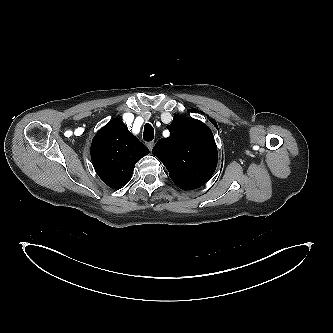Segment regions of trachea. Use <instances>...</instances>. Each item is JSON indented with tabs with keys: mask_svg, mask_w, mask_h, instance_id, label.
<instances>
[{
	"mask_svg": "<svg viewBox=\"0 0 333 333\" xmlns=\"http://www.w3.org/2000/svg\"><path fill=\"white\" fill-rule=\"evenodd\" d=\"M143 139L148 142L154 139V129L149 123L144 126Z\"/></svg>",
	"mask_w": 333,
	"mask_h": 333,
	"instance_id": "3493384b",
	"label": "trachea"
}]
</instances>
